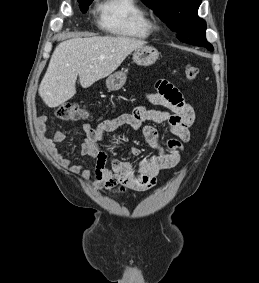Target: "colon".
Listing matches in <instances>:
<instances>
[{"label":"colon","mask_w":259,"mask_h":283,"mask_svg":"<svg viewBox=\"0 0 259 283\" xmlns=\"http://www.w3.org/2000/svg\"><path fill=\"white\" fill-rule=\"evenodd\" d=\"M185 76L187 79L194 81L199 75V69L193 64H187L184 69ZM56 116L65 121H75L85 119L88 114L85 108L76 103H64L60 105L56 110Z\"/></svg>","instance_id":"5ec220e1"}]
</instances>
